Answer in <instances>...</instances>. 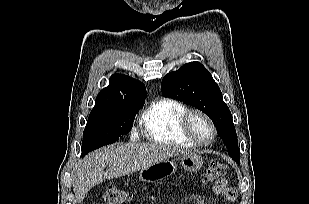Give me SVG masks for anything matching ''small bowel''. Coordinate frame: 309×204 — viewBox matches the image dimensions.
Wrapping results in <instances>:
<instances>
[{"label":"small bowel","mask_w":309,"mask_h":204,"mask_svg":"<svg viewBox=\"0 0 309 204\" xmlns=\"http://www.w3.org/2000/svg\"><path fill=\"white\" fill-rule=\"evenodd\" d=\"M213 192L217 196H221L226 200L233 201L236 199V191L234 188L229 187L226 179H221L213 185ZM192 204H203L199 197H194Z\"/></svg>","instance_id":"c3829d8e"}]
</instances>
